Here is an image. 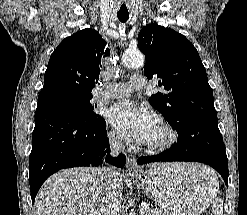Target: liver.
<instances>
[{
	"instance_id": "obj_1",
	"label": "liver",
	"mask_w": 247,
	"mask_h": 215,
	"mask_svg": "<svg viewBox=\"0 0 247 215\" xmlns=\"http://www.w3.org/2000/svg\"><path fill=\"white\" fill-rule=\"evenodd\" d=\"M195 169V164H190L189 170ZM101 175L102 168L95 167H76L52 175L36 196V215H107L113 191L122 200V180L125 176L119 173V186L112 189Z\"/></svg>"
}]
</instances>
